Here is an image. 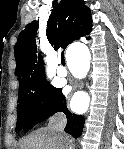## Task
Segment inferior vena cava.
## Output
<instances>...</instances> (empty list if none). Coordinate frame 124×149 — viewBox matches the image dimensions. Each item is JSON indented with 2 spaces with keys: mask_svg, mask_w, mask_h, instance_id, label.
<instances>
[{
  "mask_svg": "<svg viewBox=\"0 0 124 149\" xmlns=\"http://www.w3.org/2000/svg\"><path fill=\"white\" fill-rule=\"evenodd\" d=\"M66 122L67 120L65 115L60 113L54 117L50 127L56 133V137L63 139L62 142V145H64L63 149H70L72 145V139H69V136H65V134H63Z\"/></svg>",
  "mask_w": 124,
  "mask_h": 149,
  "instance_id": "obj_1",
  "label": "inferior vena cava"
}]
</instances>
